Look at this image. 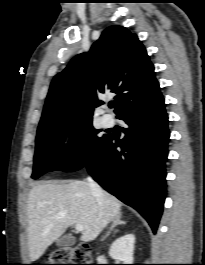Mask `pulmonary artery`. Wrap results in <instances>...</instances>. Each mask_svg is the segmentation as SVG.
Masks as SVG:
<instances>
[{"label": "pulmonary artery", "mask_w": 205, "mask_h": 265, "mask_svg": "<svg viewBox=\"0 0 205 265\" xmlns=\"http://www.w3.org/2000/svg\"><path fill=\"white\" fill-rule=\"evenodd\" d=\"M102 123L104 126L108 127L113 124V117L109 114H105L102 117Z\"/></svg>", "instance_id": "e3ab8cb5"}]
</instances>
